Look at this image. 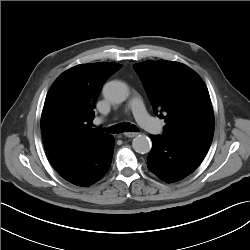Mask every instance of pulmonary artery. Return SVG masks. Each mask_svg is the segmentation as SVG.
I'll return each mask as SVG.
<instances>
[{"label":"pulmonary artery","mask_w":250,"mask_h":250,"mask_svg":"<svg viewBox=\"0 0 250 250\" xmlns=\"http://www.w3.org/2000/svg\"><path fill=\"white\" fill-rule=\"evenodd\" d=\"M129 107L138 122V124L150 131L152 133L160 134L162 132V128L159 125L158 121L152 118L146 111L142 101L140 98H133L129 102Z\"/></svg>","instance_id":"obj_1"}]
</instances>
